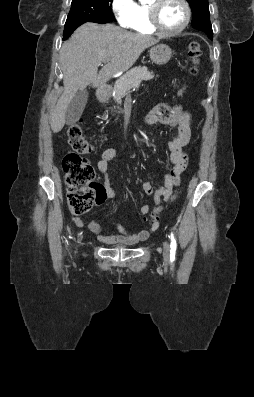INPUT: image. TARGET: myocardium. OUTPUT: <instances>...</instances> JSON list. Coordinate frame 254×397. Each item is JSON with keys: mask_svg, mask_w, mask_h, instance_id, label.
<instances>
[{"mask_svg": "<svg viewBox=\"0 0 254 397\" xmlns=\"http://www.w3.org/2000/svg\"><path fill=\"white\" fill-rule=\"evenodd\" d=\"M164 2H165V0H153V2L150 5H148L150 25H151L152 29L160 35L176 36V35L180 34L181 32H183L190 22V18H191L190 6L186 0H178V2L184 8L183 22L178 28H176L174 30H167L161 26V24L159 22V17H158L159 8L162 5V3H164Z\"/></svg>", "mask_w": 254, "mask_h": 397, "instance_id": "obj_1", "label": "myocardium"}]
</instances>
